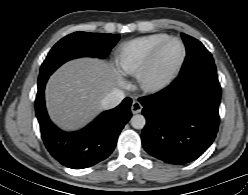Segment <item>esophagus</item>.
<instances>
[{
	"instance_id": "obj_1",
	"label": "esophagus",
	"mask_w": 248,
	"mask_h": 195,
	"mask_svg": "<svg viewBox=\"0 0 248 195\" xmlns=\"http://www.w3.org/2000/svg\"><path fill=\"white\" fill-rule=\"evenodd\" d=\"M142 111V105L139 101L133 100L132 105H131V112L133 114H138Z\"/></svg>"
}]
</instances>
